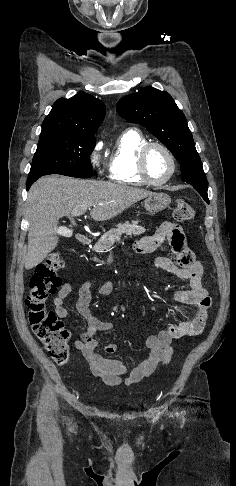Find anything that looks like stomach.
<instances>
[{"mask_svg": "<svg viewBox=\"0 0 236 486\" xmlns=\"http://www.w3.org/2000/svg\"><path fill=\"white\" fill-rule=\"evenodd\" d=\"M171 203V198L166 193H153L144 201L145 209L151 213H157L164 210Z\"/></svg>", "mask_w": 236, "mask_h": 486, "instance_id": "stomach-1", "label": "stomach"}]
</instances>
